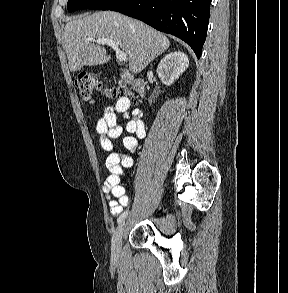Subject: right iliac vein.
<instances>
[{"instance_id": "63e3f726", "label": "right iliac vein", "mask_w": 288, "mask_h": 293, "mask_svg": "<svg viewBox=\"0 0 288 293\" xmlns=\"http://www.w3.org/2000/svg\"><path fill=\"white\" fill-rule=\"evenodd\" d=\"M125 229V221L121 222L117 227L113 238H112V245H111V254L113 259H118L120 251H121V243H122V236Z\"/></svg>"}]
</instances>
